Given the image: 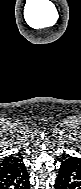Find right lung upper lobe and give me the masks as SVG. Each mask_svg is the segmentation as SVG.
Here are the masks:
<instances>
[{"label":"right lung upper lobe","instance_id":"right-lung-upper-lobe-1","mask_svg":"<svg viewBox=\"0 0 81 189\" xmlns=\"http://www.w3.org/2000/svg\"><path fill=\"white\" fill-rule=\"evenodd\" d=\"M21 159H18V158H15L13 156H10V157H6L2 160V162L0 163V169H3L7 166H10L14 163H17L19 162Z\"/></svg>","mask_w":81,"mask_h":189}]
</instances>
